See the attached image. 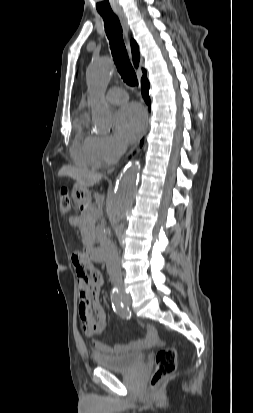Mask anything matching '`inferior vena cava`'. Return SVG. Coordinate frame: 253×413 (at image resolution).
<instances>
[{
  "label": "inferior vena cava",
  "mask_w": 253,
  "mask_h": 413,
  "mask_svg": "<svg viewBox=\"0 0 253 413\" xmlns=\"http://www.w3.org/2000/svg\"><path fill=\"white\" fill-rule=\"evenodd\" d=\"M101 249L105 255L106 267L111 283L119 290L123 289L120 262L114 243L103 233L99 235Z\"/></svg>",
  "instance_id": "inferior-vena-cava-1"
}]
</instances>
